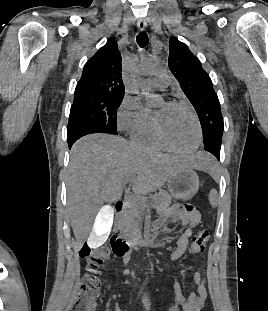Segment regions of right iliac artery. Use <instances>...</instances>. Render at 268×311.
Segmentation results:
<instances>
[{"label": "right iliac artery", "instance_id": "right-iliac-artery-1", "mask_svg": "<svg viewBox=\"0 0 268 311\" xmlns=\"http://www.w3.org/2000/svg\"><path fill=\"white\" fill-rule=\"evenodd\" d=\"M142 290H143V287H141L140 292H139V294H138V297L140 296Z\"/></svg>", "mask_w": 268, "mask_h": 311}]
</instances>
